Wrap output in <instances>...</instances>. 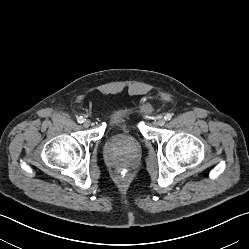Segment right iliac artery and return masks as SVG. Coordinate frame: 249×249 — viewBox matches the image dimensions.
Masks as SVG:
<instances>
[{"instance_id": "right-iliac-artery-1", "label": "right iliac artery", "mask_w": 249, "mask_h": 249, "mask_svg": "<svg viewBox=\"0 0 249 249\" xmlns=\"http://www.w3.org/2000/svg\"><path fill=\"white\" fill-rule=\"evenodd\" d=\"M78 123H83L84 122V118L82 116L77 118Z\"/></svg>"}]
</instances>
